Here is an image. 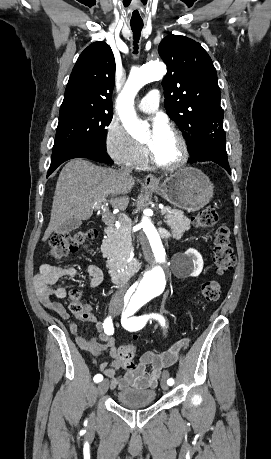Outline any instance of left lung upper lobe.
<instances>
[{"label": "left lung upper lobe", "instance_id": "5c2ea615", "mask_svg": "<svg viewBox=\"0 0 271 459\" xmlns=\"http://www.w3.org/2000/svg\"><path fill=\"white\" fill-rule=\"evenodd\" d=\"M168 72L163 78L165 107L188 146L190 159L201 151V136L223 121L216 69L194 40L169 34L158 47Z\"/></svg>", "mask_w": 271, "mask_h": 459}]
</instances>
